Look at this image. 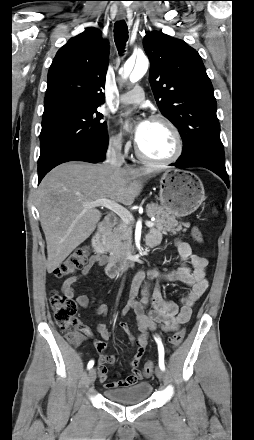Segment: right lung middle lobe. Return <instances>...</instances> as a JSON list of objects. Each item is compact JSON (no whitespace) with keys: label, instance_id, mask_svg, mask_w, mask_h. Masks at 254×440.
<instances>
[{"label":"right lung middle lobe","instance_id":"obj_1","mask_svg":"<svg viewBox=\"0 0 254 440\" xmlns=\"http://www.w3.org/2000/svg\"><path fill=\"white\" fill-rule=\"evenodd\" d=\"M98 106L59 101L44 107L38 172L66 153L107 139V125Z\"/></svg>","mask_w":254,"mask_h":440}]
</instances>
